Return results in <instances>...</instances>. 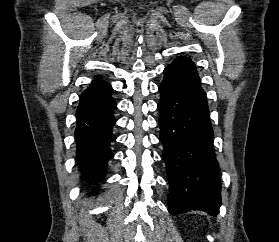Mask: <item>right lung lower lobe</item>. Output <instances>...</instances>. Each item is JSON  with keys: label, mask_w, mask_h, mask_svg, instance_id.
I'll return each instance as SVG.
<instances>
[{"label": "right lung lower lobe", "mask_w": 279, "mask_h": 242, "mask_svg": "<svg viewBox=\"0 0 279 242\" xmlns=\"http://www.w3.org/2000/svg\"><path fill=\"white\" fill-rule=\"evenodd\" d=\"M111 91L108 85L81 95L76 112V161L86 189L95 194V187L105 178L108 161L113 157L111 143L115 140L113 126L116 122L113 112L117 104Z\"/></svg>", "instance_id": "98d812e1"}]
</instances>
